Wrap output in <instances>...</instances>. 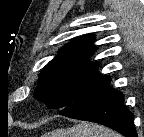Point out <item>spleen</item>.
<instances>
[{
  "label": "spleen",
  "instance_id": "spleen-1",
  "mask_svg": "<svg viewBox=\"0 0 144 137\" xmlns=\"http://www.w3.org/2000/svg\"><path fill=\"white\" fill-rule=\"evenodd\" d=\"M62 137H121L107 127L83 121L73 127L62 129Z\"/></svg>",
  "mask_w": 144,
  "mask_h": 137
}]
</instances>
